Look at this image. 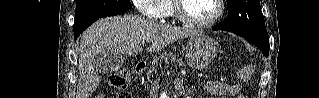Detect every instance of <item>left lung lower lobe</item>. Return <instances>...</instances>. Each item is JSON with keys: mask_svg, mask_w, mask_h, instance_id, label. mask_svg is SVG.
I'll use <instances>...</instances> for the list:
<instances>
[{"mask_svg": "<svg viewBox=\"0 0 319 98\" xmlns=\"http://www.w3.org/2000/svg\"><path fill=\"white\" fill-rule=\"evenodd\" d=\"M212 29L213 30H222L221 27H219L218 25L214 26ZM245 39L247 41H249L250 43L254 44L255 46H257L260 50H262L266 57L268 56L269 41L254 40V39H248V38H245Z\"/></svg>", "mask_w": 319, "mask_h": 98, "instance_id": "left-lung-lower-lobe-1", "label": "left lung lower lobe"}]
</instances>
